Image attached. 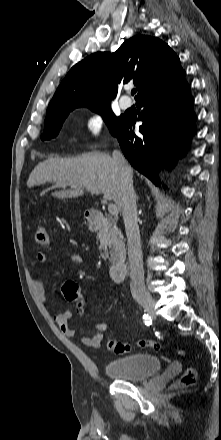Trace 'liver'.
Returning a JSON list of instances; mask_svg holds the SVG:
<instances>
[{"label": "liver", "mask_w": 221, "mask_h": 440, "mask_svg": "<svg viewBox=\"0 0 221 440\" xmlns=\"http://www.w3.org/2000/svg\"><path fill=\"white\" fill-rule=\"evenodd\" d=\"M130 170L132 175L133 171ZM47 182L70 187L69 190L52 193L54 197L76 198L89 187L102 193L104 201L114 200L118 209L122 210L120 173L113 157L107 153L90 152L72 159L49 158L34 168L27 186L31 188Z\"/></svg>", "instance_id": "6515ba94"}]
</instances>
